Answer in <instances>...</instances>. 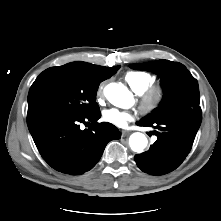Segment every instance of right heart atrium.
I'll use <instances>...</instances> for the list:
<instances>
[{
    "label": "right heart atrium",
    "mask_w": 221,
    "mask_h": 221,
    "mask_svg": "<svg viewBox=\"0 0 221 221\" xmlns=\"http://www.w3.org/2000/svg\"><path fill=\"white\" fill-rule=\"evenodd\" d=\"M101 93H102V89H100V90L98 91V95H101Z\"/></svg>",
    "instance_id": "obj_1"
}]
</instances>
